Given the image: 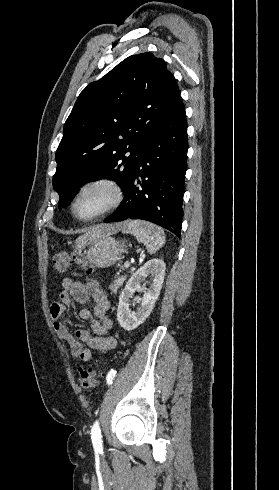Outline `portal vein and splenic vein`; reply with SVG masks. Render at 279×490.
Instances as JSON below:
<instances>
[{
    "label": "portal vein and splenic vein",
    "mask_w": 279,
    "mask_h": 490,
    "mask_svg": "<svg viewBox=\"0 0 279 490\" xmlns=\"http://www.w3.org/2000/svg\"><path fill=\"white\" fill-rule=\"evenodd\" d=\"M129 266H130V262H125L123 268H129Z\"/></svg>",
    "instance_id": "obj_1"
}]
</instances>
